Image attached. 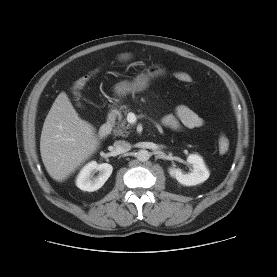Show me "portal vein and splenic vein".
I'll use <instances>...</instances> for the list:
<instances>
[{
  "label": "portal vein and splenic vein",
  "instance_id": "obj_1",
  "mask_svg": "<svg viewBox=\"0 0 277 277\" xmlns=\"http://www.w3.org/2000/svg\"><path fill=\"white\" fill-rule=\"evenodd\" d=\"M127 119L130 123H135L137 120L136 115L134 113H129Z\"/></svg>",
  "mask_w": 277,
  "mask_h": 277
}]
</instances>
